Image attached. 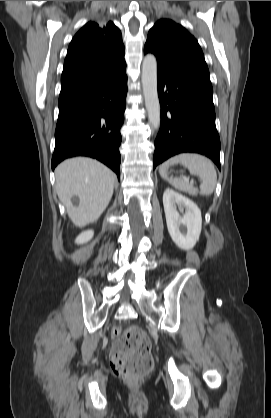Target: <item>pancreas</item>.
<instances>
[{
    "label": "pancreas",
    "instance_id": "cf45deb5",
    "mask_svg": "<svg viewBox=\"0 0 271 418\" xmlns=\"http://www.w3.org/2000/svg\"><path fill=\"white\" fill-rule=\"evenodd\" d=\"M192 193H193V194H194V193H196V189H194Z\"/></svg>",
    "mask_w": 271,
    "mask_h": 418
}]
</instances>
